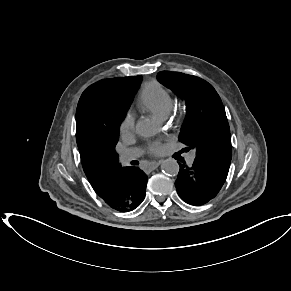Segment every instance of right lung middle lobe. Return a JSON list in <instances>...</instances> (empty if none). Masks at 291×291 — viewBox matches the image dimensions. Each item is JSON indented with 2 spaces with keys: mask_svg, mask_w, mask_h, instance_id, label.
I'll list each match as a JSON object with an SVG mask.
<instances>
[{
  "mask_svg": "<svg viewBox=\"0 0 291 291\" xmlns=\"http://www.w3.org/2000/svg\"><path fill=\"white\" fill-rule=\"evenodd\" d=\"M142 77L135 76L128 80L127 88L114 90L108 85L97 88L98 119L102 142L115 151L119 138V127L133 99V95Z\"/></svg>",
  "mask_w": 291,
  "mask_h": 291,
  "instance_id": "right-lung-middle-lobe-1",
  "label": "right lung middle lobe"
}]
</instances>
